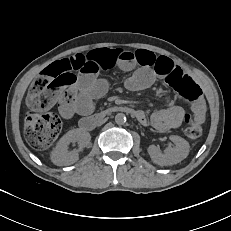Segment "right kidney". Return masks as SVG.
Returning a JSON list of instances; mask_svg holds the SVG:
<instances>
[{"label":"right kidney","mask_w":231,"mask_h":231,"mask_svg":"<svg viewBox=\"0 0 231 231\" xmlns=\"http://www.w3.org/2000/svg\"><path fill=\"white\" fill-rule=\"evenodd\" d=\"M91 136L88 132L81 129H73L63 135L51 154V161L58 166L71 165L78 161L79 151L84 147L90 146ZM78 143L79 149L69 152L70 143Z\"/></svg>","instance_id":"right-kidney-1"}]
</instances>
